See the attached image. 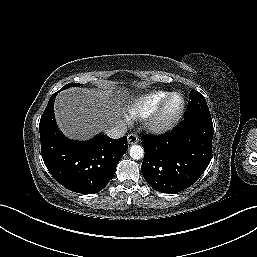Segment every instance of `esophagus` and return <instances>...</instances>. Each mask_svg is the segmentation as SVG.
I'll list each match as a JSON object with an SVG mask.
<instances>
[{
    "mask_svg": "<svg viewBox=\"0 0 257 257\" xmlns=\"http://www.w3.org/2000/svg\"><path fill=\"white\" fill-rule=\"evenodd\" d=\"M129 144H137L139 142V138L135 133H130L127 137Z\"/></svg>",
    "mask_w": 257,
    "mask_h": 257,
    "instance_id": "34e87169",
    "label": "esophagus"
}]
</instances>
